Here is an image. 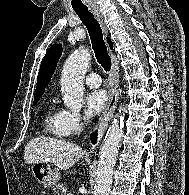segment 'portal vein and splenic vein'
Wrapping results in <instances>:
<instances>
[{
	"label": "portal vein and splenic vein",
	"mask_w": 189,
	"mask_h": 195,
	"mask_svg": "<svg viewBox=\"0 0 189 195\" xmlns=\"http://www.w3.org/2000/svg\"><path fill=\"white\" fill-rule=\"evenodd\" d=\"M67 195H73L72 193H68Z\"/></svg>",
	"instance_id": "obj_1"
}]
</instances>
